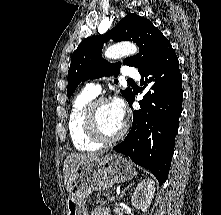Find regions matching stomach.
Here are the masks:
<instances>
[{
  "label": "stomach",
  "instance_id": "stomach-1",
  "mask_svg": "<svg viewBox=\"0 0 221 215\" xmlns=\"http://www.w3.org/2000/svg\"><path fill=\"white\" fill-rule=\"evenodd\" d=\"M135 175L132 163L114 153L79 164L70 180L67 215H88L85 202L93 191L107 190L115 183L130 181Z\"/></svg>",
  "mask_w": 221,
  "mask_h": 215
}]
</instances>
